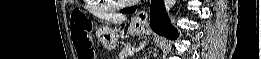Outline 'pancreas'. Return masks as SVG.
Instances as JSON below:
<instances>
[{"label":"pancreas","mask_w":261,"mask_h":59,"mask_svg":"<svg viewBox=\"0 0 261 59\" xmlns=\"http://www.w3.org/2000/svg\"><path fill=\"white\" fill-rule=\"evenodd\" d=\"M133 47L130 44H126L119 54L120 59H128L129 51H132Z\"/></svg>","instance_id":"obj_1"}]
</instances>
